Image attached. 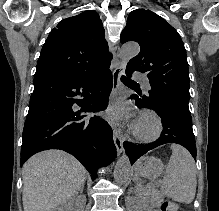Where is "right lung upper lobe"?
<instances>
[{
    "instance_id": "cb5924a9",
    "label": "right lung upper lobe",
    "mask_w": 219,
    "mask_h": 211,
    "mask_svg": "<svg viewBox=\"0 0 219 211\" xmlns=\"http://www.w3.org/2000/svg\"><path fill=\"white\" fill-rule=\"evenodd\" d=\"M104 34L95 11L62 20L43 45L34 78L89 75L110 65L112 55Z\"/></svg>"
}]
</instances>
